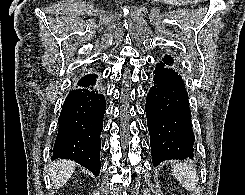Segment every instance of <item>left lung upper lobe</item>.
Wrapping results in <instances>:
<instances>
[{
	"mask_svg": "<svg viewBox=\"0 0 245 195\" xmlns=\"http://www.w3.org/2000/svg\"><path fill=\"white\" fill-rule=\"evenodd\" d=\"M165 58L173 62V59H172V57H169V56H165ZM173 63H174V62H173Z\"/></svg>",
	"mask_w": 245,
	"mask_h": 195,
	"instance_id": "obj_1",
	"label": "left lung upper lobe"
}]
</instances>
